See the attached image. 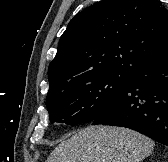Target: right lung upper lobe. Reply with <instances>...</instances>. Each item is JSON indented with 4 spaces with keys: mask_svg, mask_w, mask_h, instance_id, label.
Masks as SVG:
<instances>
[{
    "mask_svg": "<svg viewBox=\"0 0 168 162\" xmlns=\"http://www.w3.org/2000/svg\"><path fill=\"white\" fill-rule=\"evenodd\" d=\"M166 58L168 11L158 0H103L69 22L48 68L49 91L88 76L132 75Z\"/></svg>",
    "mask_w": 168,
    "mask_h": 162,
    "instance_id": "right-lung-upper-lobe-1",
    "label": "right lung upper lobe"
}]
</instances>
